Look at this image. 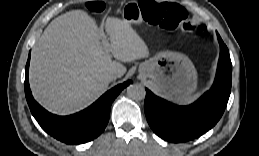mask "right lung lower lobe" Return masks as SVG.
<instances>
[{
    "label": "right lung lower lobe",
    "instance_id": "1",
    "mask_svg": "<svg viewBox=\"0 0 259 156\" xmlns=\"http://www.w3.org/2000/svg\"><path fill=\"white\" fill-rule=\"evenodd\" d=\"M29 62L30 55L25 68V96L31 113L44 131L66 144H82L98 137L108 123L112 102L131 83L126 81L115 86L81 112L57 116L46 111L34 100L28 81Z\"/></svg>",
    "mask_w": 259,
    "mask_h": 156
}]
</instances>
